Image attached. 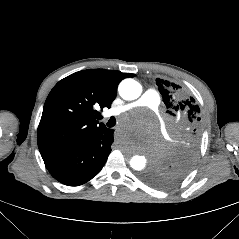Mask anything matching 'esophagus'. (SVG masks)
I'll list each match as a JSON object with an SVG mask.
<instances>
[{
	"label": "esophagus",
	"instance_id": "esophagus-1",
	"mask_svg": "<svg viewBox=\"0 0 239 239\" xmlns=\"http://www.w3.org/2000/svg\"><path fill=\"white\" fill-rule=\"evenodd\" d=\"M112 138L114 140H120L122 138V133L120 132V130H118V129L113 130Z\"/></svg>",
	"mask_w": 239,
	"mask_h": 239
}]
</instances>
